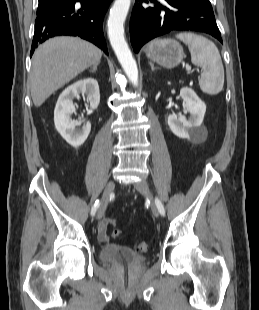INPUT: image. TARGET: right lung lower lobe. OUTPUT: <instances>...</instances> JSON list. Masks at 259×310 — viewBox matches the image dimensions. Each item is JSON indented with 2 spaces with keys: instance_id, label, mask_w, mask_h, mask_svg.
<instances>
[{
  "instance_id": "obj_1",
  "label": "right lung lower lobe",
  "mask_w": 259,
  "mask_h": 310,
  "mask_svg": "<svg viewBox=\"0 0 259 310\" xmlns=\"http://www.w3.org/2000/svg\"><path fill=\"white\" fill-rule=\"evenodd\" d=\"M76 2L81 3V9L75 7ZM110 2L111 0H65L38 6L30 56L40 43L57 35L79 36L108 54L102 25Z\"/></svg>"
}]
</instances>
